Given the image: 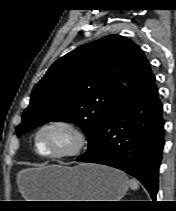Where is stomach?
<instances>
[{"label": "stomach", "mask_w": 176, "mask_h": 211, "mask_svg": "<svg viewBox=\"0 0 176 211\" xmlns=\"http://www.w3.org/2000/svg\"><path fill=\"white\" fill-rule=\"evenodd\" d=\"M27 201H119L129 188L120 170L97 164L48 165L18 176Z\"/></svg>", "instance_id": "stomach-1"}]
</instances>
